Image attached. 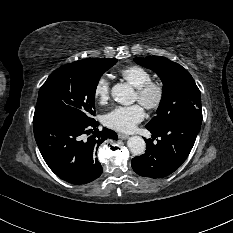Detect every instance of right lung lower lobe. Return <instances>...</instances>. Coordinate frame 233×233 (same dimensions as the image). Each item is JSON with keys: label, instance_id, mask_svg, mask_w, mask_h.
<instances>
[{"label": "right lung lower lobe", "instance_id": "1", "mask_svg": "<svg viewBox=\"0 0 233 233\" xmlns=\"http://www.w3.org/2000/svg\"><path fill=\"white\" fill-rule=\"evenodd\" d=\"M98 124L95 120L64 116H34V136L39 150L59 178L72 184H86L102 174L97 149L104 140L118 137L107 128L99 131ZM85 134L89 136L86 138Z\"/></svg>", "mask_w": 233, "mask_h": 233}]
</instances>
